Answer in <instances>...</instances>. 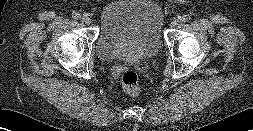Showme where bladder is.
Segmentation results:
<instances>
[{
	"mask_svg": "<svg viewBox=\"0 0 253 131\" xmlns=\"http://www.w3.org/2000/svg\"><path fill=\"white\" fill-rule=\"evenodd\" d=\"M162 24L156 0H111L100 11L96 53L105 61L151 57L162 47Z\"/></svg>",
	"mask_w": 253,
	"mask_h": 131,
	"instance_id": "1",
	"label": "bladder"
}]
</instances>
